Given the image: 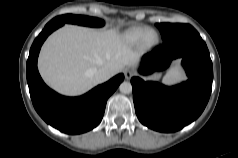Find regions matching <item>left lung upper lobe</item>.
I'll use <instances>...</instances> for the list:
<instances>
[{
	"instance_id": "left-lung-upper-lobe-1",
	"label": "left lung upper lobe",
	"mask_w": 238,
	"mask_h": 158,
	"mask_svg": "<svg viewBox=\"0 0 238 158\" xmlns=\"http://www.w3.org/2000/svg\"><path fill=\"white\" fill-rule=\"evenodd\" d=\"M156 26L161 32L163 41H167L175 35L194 29L189 24L157 23Z\"/></svg>"
}]
</instances>
